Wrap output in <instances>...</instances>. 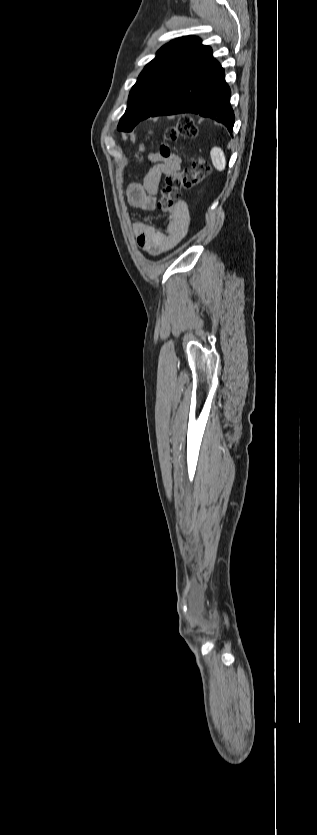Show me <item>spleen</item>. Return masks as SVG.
<instances>
[{"mask_svg":"<svg viewBox=\"0 0 317 835\" xmlns=\"http://www.w3.org/2000/svg\"><path fill=\"white\" fill-rule=\"evenodd\" d=\"M210 156H211L213 166L218 171L225 170L226 158H225V154H224L223 150L220 147H217V146L213 147L211 149Z\"/></svg>","mask_w":317,"mask_h":835,"instance_id":"spleen-1","label":"spleen"}]
</instances>
